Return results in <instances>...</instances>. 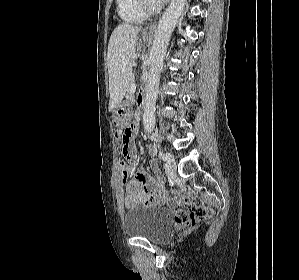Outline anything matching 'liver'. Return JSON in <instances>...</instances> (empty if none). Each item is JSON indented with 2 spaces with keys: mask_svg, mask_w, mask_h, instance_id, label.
Returning a JSON list of instances; mask_svg holds the SVG:
<instances>
[{
  "mask_svg": "<svg viewBox=\"0 0 299 280\" xmlns=\"http://www.w3.org/2000/svg\"><path fill=\"white\" fill-rule=\"evenodd\" d=\"M141 28L129 24L118 25L108 44V72L110 100L109 111H113L125 96L131 79L132 60L135 56L137 35Z\"/></svg>",
  "mask_w": 299,
  "mask_h": 280,
  "instance_id": "liver-1",
  "label": "liver"
}]
</instances>
